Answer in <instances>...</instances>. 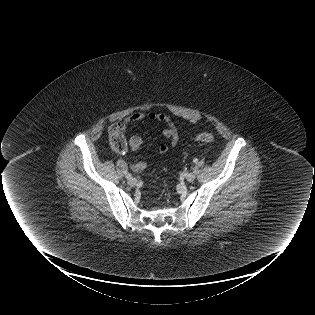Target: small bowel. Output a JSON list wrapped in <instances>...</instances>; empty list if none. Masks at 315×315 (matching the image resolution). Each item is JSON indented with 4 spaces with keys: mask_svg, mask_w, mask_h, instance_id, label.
<instances>
[{
    "mask_svg": "<svg viewBox=\"0 0 315 315\" xmlns=\"http://www.w3.org/2000/svg\"><path fill=\"white\" fill-rule=\"evenodd\" d=\"M158 121L163 125V135L169 141V145L161 144L158 147V151L161 154L166 153L170 148L175 149L180 142V130L171 120V118L164 113L154 112H136L119 121L123 130L126 129L128 124L138 123L142 121ZM143 140L140 136L134 135L129 140L130 148L133 152L138 151L142 146ZM146 168L144 161L135 162L132 165V169L135 172H142Z\"/></svg>",
    "mask_w": 315,
    "mask_h": 315,
    "instance_id": "1",
    "label": "small bowel"
}]
</instances>
